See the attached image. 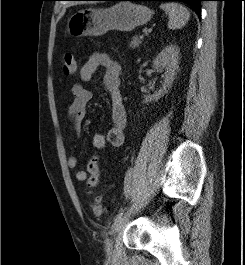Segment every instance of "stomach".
Wrapping results in <instances>:
<instances>
[{"label":"stomach","instance_id":"1","mask_svg":"<svg viewBox=\"0 0 245 265\" xmlns=\"http://www.w3.org/2000/svg\"><path fill=\"white\" fill-rule=\"evenodd\" d=\"M154 12L145 5L119 2L109 8H86L67 22L71 36H100L109 30L132 31L150 21Z\"/></svg>","mask_w":245,"mask_h":265}]
</instances>
